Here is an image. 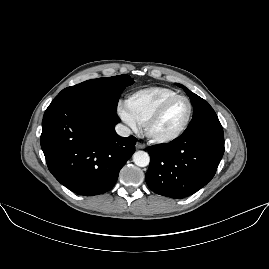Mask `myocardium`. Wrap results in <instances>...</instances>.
I'll list each match as a JSON object with an SVG mask.
<instances>
[{"label": "myocardium", "mask_w": 269, "mask_h": 269, "mask_svg": "<svg viewBox=\"0 0 269 269\" xmlns=\"http://www.w3.org/2000/svg\"><path fill=\"white\" fill-rule=\"evenodd\" d=\"M179 99H183L187 102L188 104V111H187V116L186 119L183 123V125L181 126V128L174 133L173 135L167 136V137H157L154 136L152 134L151 128L153 126V124H155L157 122V120H159V118L164 114V112L166 111V109L176 100ZM191 116H192V104L191 101L189 100L188 97L183 96V95H176L174 97H171L167 100H165L163 103H161L154 112H152L149 117L147 118L145 124L143 125V130H144V134L145 136L153 143L158 144V145H164V144H168L171 143L175 140H177L178 138H180L184 132L187 130L190 120H191Z\"/></svg>", "instance_id": "obj_1"}]
</instances>
